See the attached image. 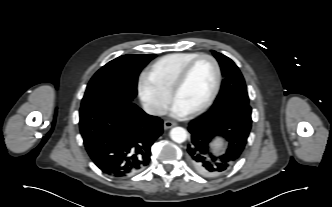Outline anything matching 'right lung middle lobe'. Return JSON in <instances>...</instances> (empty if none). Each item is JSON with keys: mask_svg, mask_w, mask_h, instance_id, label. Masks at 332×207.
<instances>
[{"mask_svg": "<svg viewBox=\"0 0 332 207\" xmlns=\"http://www.w3.org/2000/svg\"><path fill=\"white\" fill-rule=\"evenodd\" d=\"M155 56L123 55L107 63L90 80L81 106L107 98L132 101L137 95L139 73Z\"/></svg>", "mask_w": 332, "mask_h": 207, "instance_id": "obj_1", "label": "right lung middle lobe"}]
</instances>
